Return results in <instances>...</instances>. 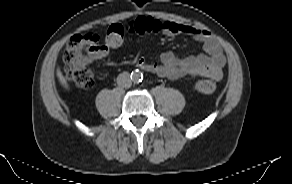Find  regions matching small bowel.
<instances>
[{"mask_svg":"<svg viewBox=\"0 0 292 184\" xmlns=\"http://www.w3.org/2000/svg\"><path fill=\"white\" fill-rule=\"evenodd\" d=\"M143 19H151L159 25V33L172 37L178 34L191 36L203 44L204 53L179 59L173 52L166 51L160 56V63H147L144 58H139L137 65L142 70L154 73L160 77L178 80L188 76H205L214 80L223 77V67L226 63L223 50L213 35L195 26L176 23L173 21H161L151 17H139L128 23L126 30L131 34H141L138 24ZM106 52L95 57L100 58Z\"/></svg>","mask_w":292,"mask_h":184,"instance_id":"1","label":"small bowel"}]
</instances>
